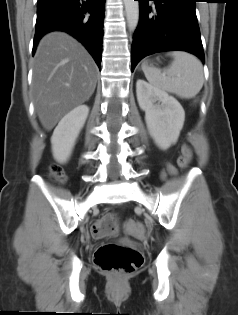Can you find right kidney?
Returning a JSON list of instances; mask_svg holds the SVG:
<instances>
[{
  "instance_id": "obj_1",
  "label": "right kidney",
  "mask_w": 238,
  "mask_h": 315,
  "mask_svg": "<svg viewBox=\"0 0 238 315\" xmlns=\"http://www.w3.org/2000/svg\"><path fill=\"white\" fill-rule=\"evenodd\" d=\"M88 113L89 107L87 105H79L58 123L51 137L53 157L57 162L65 163L71 156Z\"/></svg>"
}]
</instances>
